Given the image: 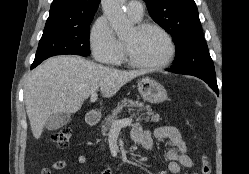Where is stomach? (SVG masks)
Returning a JSON list of instances; mask_svg holds the SVG:
<instances>
[{"instance_id": "1", "label": "stomach", "mask_w": 249, "mask_h": 174, "mask_svg": "<svg viewBox=\"0 0 249 174\" xmlns=\"http://www.w3.org/2000/svg\"><path fill=\"white\" fill-rule=\"evenodd\" d=\"M138 91L143 99L150 103H161L167 99L165 88L153 79L142 78L139 80Z\"/></svg>"}]
</instances>
